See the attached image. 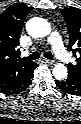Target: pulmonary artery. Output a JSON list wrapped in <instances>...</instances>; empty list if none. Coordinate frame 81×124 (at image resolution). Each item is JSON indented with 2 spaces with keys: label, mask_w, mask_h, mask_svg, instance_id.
Wrapping results in <instances>:
<instances>
[{
  "label": "pulmonary artery",
  "mask_w": 81,
  "mask_h": 124,
  "mask_svg": "<svg viewBox=\"0 0 81 124\" xmlns=\"http://www.w3.org/2000/svg\"><path fill=\"white\" fill-rule=\"evenodd\" d=\"M49 42L52 45L56 57L65 63L71 61V56L65 51L60 35L57 32H52L49 37Z\"/></svg>",
  "instance_id": "1"
}]
</instances>
